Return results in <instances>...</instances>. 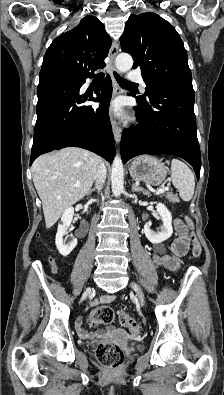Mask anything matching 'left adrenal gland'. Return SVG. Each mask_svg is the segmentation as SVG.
<instances>
[{"label": "left adrenal gland", "instance_id": "obj_1", "mask_svg": "<svg viewBox=\"0 0 224 395\" xmlns=\"http://www.w3.org/2000/svg\"><path fill=\"white\" fill-rule=\"evenodd\" d=\"M132 191H136V192H142L145 195H149V192L141 187H138L137 185H135L134 183H132Z\"/></svg>", "mask_w": 224, "mask_h": 395}]
</instances>
